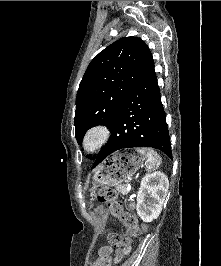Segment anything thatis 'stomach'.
Segmentation results:
<instances>
[{"instance_id": "0dacf381", "label": "stomach", "mask_w": 221, "mask_h": 266, "mask_svg": "<svg viewBox=\"0 0 221 266\" xmlns=\"http://www.w3.org/2000/svg\"><path fill=\"white\" fill-rule=\"evenodd\" d=\"M145 155L138 149H128L107 157L96 169L92 191L99 186H116L132 177L143 165Z\"/></svg>"}]
</instances>
